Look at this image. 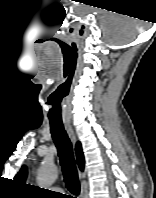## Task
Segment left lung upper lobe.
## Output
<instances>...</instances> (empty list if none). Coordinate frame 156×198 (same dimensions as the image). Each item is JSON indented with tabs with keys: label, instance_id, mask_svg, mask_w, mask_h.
<instances>
[{
	"label": "left lung upper lobe",
	"instance_id": "obj_1",
	"mask_svg": "<svg viewBox=\"0 0 156 198\" xmlns=\"http://www.w3.org/2000/svg\"><path fill=\"white\" fill-rule=\"evenodd\" d=\"M27 176V169L25 166L22 167L21 171L16 175V179L20 180L21 182H24Z\"/></svg>",
	"mask_w": 156,
	"mask_h": 198
}]
</instances>
